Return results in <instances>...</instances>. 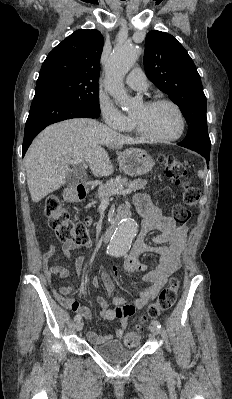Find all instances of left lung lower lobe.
Instances as JSON below:
<instances>
[{
    "instance_id": "1",
    "label": "left lung lower lobe",
    "mask_w": 232,
    "mask_h": 399,
    "mask_svg": "<svg viewBox=\"0 0 232 399\" xmlns=\"http://www.w3.org/2000/svg\"><path fill=\"white\" fill-rule=\"evenodd\" d=\"M197 153L200 154L201 156H203L206 159L207 164L209 163L210 152L209 153H207V152H197Z\"/></svg>"
}]
</instances>
